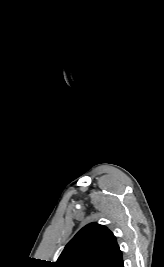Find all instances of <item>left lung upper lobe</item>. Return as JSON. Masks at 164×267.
<instances>
[{
	"mask_svg": "<svg viewBox=\"0 0 164 267\" xmlns=\"http://www.w3.org/2000/svg\"><path fill=\"white\" fill-rule=\"evenodd\" d=\"M113 233L90 223L65 246L54 267H106L119 252Z\"/></svg>",
	"mask_w": 164,
	"mask_h": 267,
	"instance_id": "5c2ea615",
	"label": "left lung upper lobe"
}]
</instances>
